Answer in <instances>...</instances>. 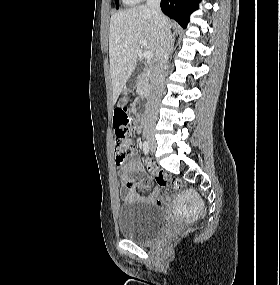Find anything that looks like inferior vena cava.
Returning <instances> with one entry per match:
<instances>
[{
	"instance_id": "inferior-vena-cava-1",
	"label": "inferior vena cava",
	"mask_w": 280,
	"mask_h": 285,
	"mask_svg": "<svg viewBox=\"0 0 280 285\" xmlns=\"http://www.w3.org/2000/svg\"><path fill=\"white\" fill-rule=\"evenodd\" d=\"M147 7L151 10L156 27V47L154 53L153 79L150 94L147 99L145 125L154 124L158 113V104L163 89L165 66L170 54L172 43L171 32L160 9V0H147Z\"/></svg>"
}]
</instances>
